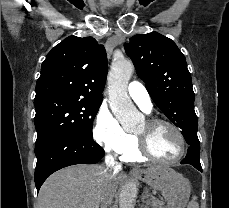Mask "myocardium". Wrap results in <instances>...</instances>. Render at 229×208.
<instances>
[{"label": "myocardium", "instance_id": "obj_1", "mask_svg": "<svg viewBox=\"0 0 229 208\" xmlns=\"http://www.w3.org/2000/svg\"><path fill=\"white\" fill-rule=\"evenodd\" d=\"M146 123L151 127L168 126L172 128L173 130H169V135H173V138L175 139V143H178V147H185V149L183 153L176 158H173L171 160H158V157H152V152H148L147 139H150V137L137 134L140 140V142L137 143V146L139 148L138 152L144 153L143 154L144 158H150L151 160L162 164H173L181 161L187 155V153L191 148V143L187 135L179 126H177L176 124L170 121L159 119V118H150L146 121ZM178 132L180 134H178Z\"/></svg>", "mask_w": 229, "mask_h": 208}]
</instances>
